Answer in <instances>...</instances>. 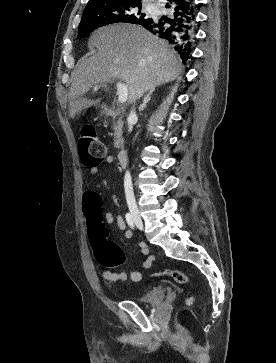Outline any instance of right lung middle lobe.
<instances>
[{"label": "right lung middle lobe", "instance_id": "right-lung-middle-lobe-1", "mask_svg": "<svg viewBox=\"0 0 276 363\" xmlns=\"http://www.w3.org/2000/svg\"><path fill=\"white\" fill-rule=\"evenodd\" d=\"M142 3L106 1L87 6L79 25L78 38L88 36L94 29L117 22L141 24L146 18L141 13Z\"/></svg>", "mask_w": 276, "mask_h": 363}]
</instances>
